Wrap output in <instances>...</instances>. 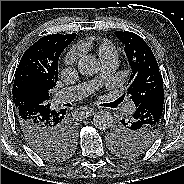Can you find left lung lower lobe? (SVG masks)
Masks as SVG:
<instances>
[{"instance_id": "left-lung-lower-lobe-1", "label": "left lung lower lobe", "mask_w": 184, "mask_h": 184, "mask_svg": "<svg viewBox=\"0 0 184 184\" xmlns=\"http://www.w3.org/2000/svg\"><path fill=\"white\" fill-rule=\"evenodd\" d=\"M164 96H157L153 101L140 104L130 121L137 126L151 123L162 116Z\"/></svg>"}]
</instances>
